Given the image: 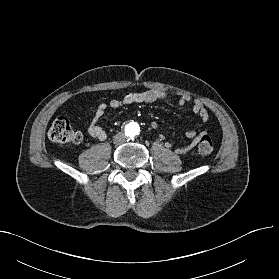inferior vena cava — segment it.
Returning a JSON list of instances; mask_svg holds the SVG:
<instances>
[{"label":"inferior vena cava","instance_id":"602c4592","mask_svg":"<svg viewBox=\"0 0 279 279\" xmlns=\"http://www.w3.org/2000/svg\"><path fill=\"white\" fill-rule=\"evenodd\" d=\"M113 141L115 144H122L125 141V136L122 133H118L114 136Z\"/></svg>","mask_w":279,"mask_h":279}]
</instances>
